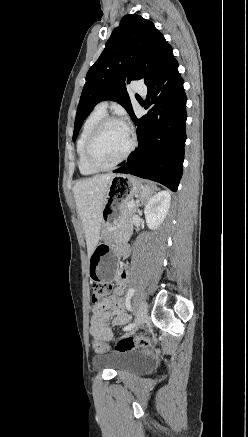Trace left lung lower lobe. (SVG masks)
<instances>
[{
    "mask_svg": "<svg viewBox=\"0 0 248 437\" xmlns=\"http://www.w3.org/2000/svg\"><path fill=\"white\" fill-rule=\"evenodd\" d=\"M145 108L148 113L138 119V148L115 173L159 182L176 191L182 176L186 140V95L183 80L174 59L152 82L146 85Z\"/></svg>",
    "mask_w": 248,
    "mask_h": 437,
    "instance_id": "obj_1",
    "label": "left lung lower lobe"
}]
</instances>
